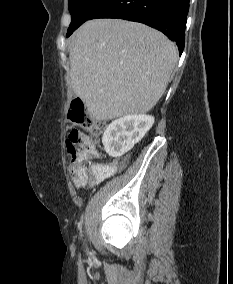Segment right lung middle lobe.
<instances>
[{
  "instance_id": "dd1d6c3e",
  "label": "right lung middle lobe",
  "mask_w": 233,
  "mask_h": 284,
  "mask_svg": "<svg viewBox=\"0 0 233 284\" xmlns=\"http://www.w3.org/2000/svg\"><path fill=\"white\" fill-rule=\"evenodd\" d=\"M108 0H69L68 6L71 14V23L68 28L67 36L78 28L82 23Z\"/></svg>"
}]
</instances>
